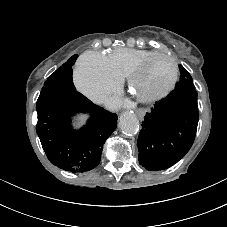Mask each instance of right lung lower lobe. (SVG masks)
<instances>
[{
  "mask_svg": "<svg viewBox=\"0 0 227 227\" xmlns=\"http://www.w3.org/2000/svg\"><path fill=\"white\" fill-rule=\"evenodd\" d=\"M37 134L52 164L72 173L95 168L103 144L117 126V115L93 104L76 90L45 89L37 100ZM90 115L87 125L75 131L71 117Z\"/></svg>",
  "mask_w": 227,
  "mask_h": 227,
  "instance_id": "1",
  "label": "right lung lower lobe"
}]
</instances>
